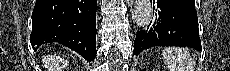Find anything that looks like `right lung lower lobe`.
Returning <instances> with one entry per match:
<instances>
[{
  "label": "right lung lower lobe",
  "mask_w": 230,
  "mask_h": 71,
  "mask_svg": "<svg viewBox=\"0 0 230 71\" xmlns=\"http://www.w3.org/2000/svg\"><path fill=\"white\" fill-rule=\"evenodd\" d=\"M97 0H36L31 45L60 43L92 61L96 57Z\"/></svg>",
  "instance_id": "1"
}]
</instances>
